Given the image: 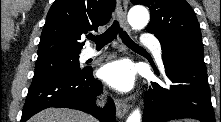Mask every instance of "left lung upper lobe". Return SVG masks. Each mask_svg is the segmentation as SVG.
<instances>
[{
  "instance_id": "5c2ea615",
  "label": "left lung upper lobe",
  "mask_w": 221,
  "mask_h": 122,
  "mask_svg": "<svg viewBox=\"0 0 221 122\" xmlns=\"http://www.w3.org/2000/svg\"><path fill=\"white\" fill-rule=\"evenodd\" d=\"M149 7L147 32L161 43L162 54L181 53L204 58L201 31L196 15L185 0H131Z\"/></svg>"
}]
</instances>
